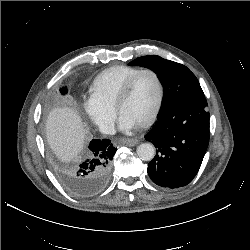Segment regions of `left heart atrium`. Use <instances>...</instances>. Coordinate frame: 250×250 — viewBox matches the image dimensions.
<instances>
[{
	"label": "left heart atrium",
	"instance_id": "obj_1",
	"mask_svg": "<svg viewBox=\"0 0 250 250\" xmlns=\"http://www.w3.org/2000/svg\"><path fill=\"white\" fill-rule=\"evenodd\" d=\"M135 127V124L132 123L130 120L125 118L124 116H121L119 119V128L123 131H129L132 128Z\"/></svg>",
	"mask_w": 250,
	"mask_h": 250
}]
</instances>
